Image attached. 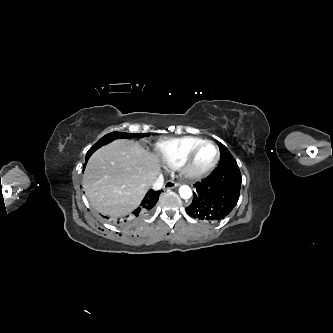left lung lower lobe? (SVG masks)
<instances>
[{"instance_id": "left-lung-lower-lobe-1", "label": "left lung lower lobe", "mask_w": 333, "mask_h": 333, "mask_svg": "<svg viewBox=\"0 0 333 333\" xmlns=\"http://www.w3.org/2000/svg\"><path fill=\"white\" fill-rule=\"evenodd\" d=\"M241 182L237 164L217 167L207 178L194 185L193 200L186 212L206 222L224 219L238 202Z\"/></svg>"}]
</instances>
